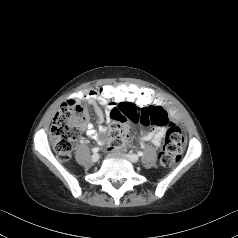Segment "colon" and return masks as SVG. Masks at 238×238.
I'll use <instances>...</instances> for the list:
<instances>
[{
    "label": "colon",
    "mask_w": 238,
    "mask_h": 238,
    "mask_svg": "<svg viewBox=\"0 0 238 238\" xmlns=\"http://www.w3.org/2000/svg\"><path fill=\"white\" fill-rule=\"evenodd\" d=\"M97 94L100 100L108 103H122L113 108L110 118L113 126L109 132V146L116 150L126 141L127 121L145 126H159L167 129L164 145L159 155L163 166L177 163L181 157L184 135L179 126L170 121L166 107V96L133 83L111 84L102 83ZM85 114L79 102L67 101L56 113L50 128L53 150L61 161H68L79 136L80 121Z\"/></svg>",
    "instance_id": "colon-1"
}]
</instances>
